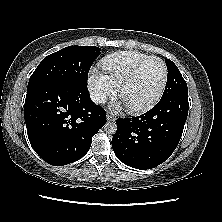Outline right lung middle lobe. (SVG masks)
Listing matches in <instances>:
<instances>
[{
  "instance_id": "1",
  "label": "right lung middle lobe",
  "mask_w": 222,
  "mask_h": 222,
  "mask_svg": "<svg viewBox=\"0 0 222 222\" xmlns=\"http://www.w3.org/2000/svg\"><path fill=\"white\" fill-rule=\"evenodd\" d=\"M94 46H68L45 57L31 75L27 90L43 83L87 88L89 69L100 55Z\"/></svg>"
}]
</instances>
